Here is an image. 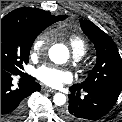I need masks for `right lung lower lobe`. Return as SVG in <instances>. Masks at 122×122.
<instances>
[{"label": "right lung lower lobe", "mask_w": 122, "mask_h": 122, "mask_svg": "<svg viewBox=\"0 0 122 122\" xmlns=\"http://www.w3.org/2000/svg\"><path fill=\"white\" fill-rule=\"evenodd\" d=\"M13 75L16 74L1 68V122H21L26 113V98L41 89L31 76L17 89H13Z\"/></svg>", "instance_id": "right-lung-lower-lobe-1"}]
</instances>
